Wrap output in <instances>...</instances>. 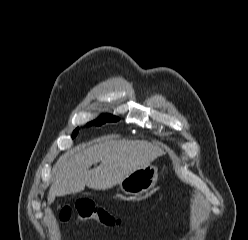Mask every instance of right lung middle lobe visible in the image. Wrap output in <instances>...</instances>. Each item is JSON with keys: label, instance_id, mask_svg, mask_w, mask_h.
Returning a JSON list of instances; mask_svg holds the SVG:
<instances>
[{"label": "right lung middle lobe", "instance_id": "1", "mask_svg": "<svg viewBox=\"0 0 248 240\" xmlns=\"http://www.w3.org/2000/svg\"><path fill=\"white\" fill-rule=\"evenodd\" d=\"M119 120L118 117H115L113 115H109V114H104L102 116H100L98 119H96L95 121L93 122H90L88 125H97V126H100L101 124H104L106 122H115ZM78 131H79V128H76L74 131H73V134H72V138H74L77 134H78Z\"/></svg>", "mask_w": 248, "mask_h": 240}]
</instances>
